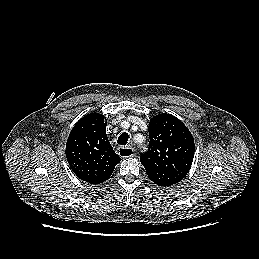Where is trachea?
<instances>
[{
	"label": "trachea",
	"instance_id": "trachea-1",
	"mask_svg": "<svg viewBox=\"0 0 259 259\" xmlns=\"http://www.w3.org/2000/svg\"><path fill=\"white\" fill-rule=\"evenodd\" d=\"M128 139H129L128 133L124 132V133H122V134L118 137L117 143H118L119 145H126L127 142H128Z\"/></svg>",
	"mask_w": 259,
	"mask_h": 259
}]
</instances>
